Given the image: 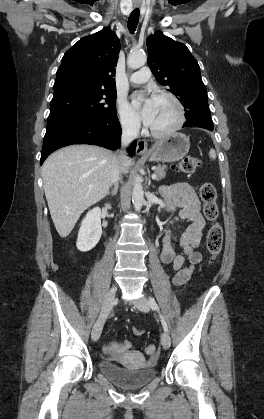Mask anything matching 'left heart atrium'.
Segmentation results:
<instances>
[{"instance_id": "39dd6f15", "label": "left heart atrium", "mask_w": 264, "mask_h": 419, "mask_svg": "<svg viewBox=\"0 0 264 419\" xmlns=\"http://www.w3.org/2000/svg\"><path fill=\"white\" fill-rule=\"evenodd\" d=\"M156 98L145 96L143 98V105L140 110V116L143 122L151 126L155 118Z\"/></svg>"}]
</instances>
